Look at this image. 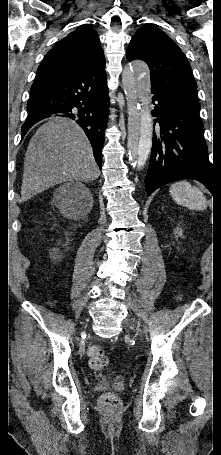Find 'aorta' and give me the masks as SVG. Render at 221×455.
Segmentation results:
<instances>
[{"label":"aorta","mask_w":221,"mask_h":455,"mask_svg":"<svg viewBox=\"0 0 221 455\" xmlns=\"http://www.w3.org/2000/svg\"><path fill=\"white\" fill-rule=\"evenodd\" d=\"M122 87L128 110L129 159L133 166L142 168L150 154L153 136L148 66L142 61H133L126 65L122 74Z\"/></svg>","instance_id":"1"}]
</instances>
